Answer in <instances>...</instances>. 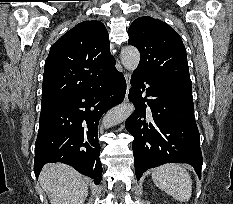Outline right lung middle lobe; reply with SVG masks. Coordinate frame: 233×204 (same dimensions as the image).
<instances>
[{"mask_svg": "<svg viewBox=\"0 0 233 204\" xmlns=\"http://www.w3.org/2000/svg\"><path fill=\"white\" fill-rule=\"evenodd\" d=\"M58 103H50V104H42L41 105V114L48 112L52 108H54Z\"/></svg>", "mask_w": 233, "mask_h": 204, "instance_id": "dd1d6c3e", "label": "right lung middle lobe"}]
</instances>
